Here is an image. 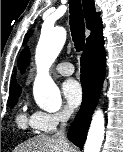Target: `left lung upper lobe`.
<instances>
[{"label": "left lung upper lobe", "instance_id": "1", "mask_svg": "<svg viewBox=\"0 0 123 152\" xmlns=\"http://www.w3.org/2000/svg\"><path fill=\"white\" fill-rule=\"evenodd\" d=\"M28 63H29V52L27 49H25L21 53L19 60H18L19 69L22 70V72H23L24 69L27 67Z\"/></svg>", "mask_w": 123, "mask_h": 152}]
</instances>
